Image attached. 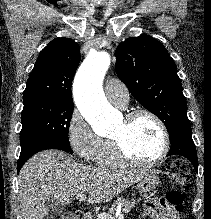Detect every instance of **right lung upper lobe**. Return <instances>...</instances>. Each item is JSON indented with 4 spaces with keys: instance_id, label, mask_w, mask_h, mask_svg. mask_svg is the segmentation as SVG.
Instances as JSON below:
<instances>
[{
    "instance_id": "1",
    "label": "right lung upper lobe",
    "mask_w": 211,
    "mask_h": 219,
    "mask_svg": "<svg viewBox=\"0 0 211 219\" xmlns=\"http://www.w3.org/2000/svg\"><path fill=\"white\" fill-rule=\"evenodd\" d=\"M80 62L79 45L69 38L52 40L39 54L24 90V102L47 99L73 104L71 84Z\"/></svg>"
}]
</instances>
